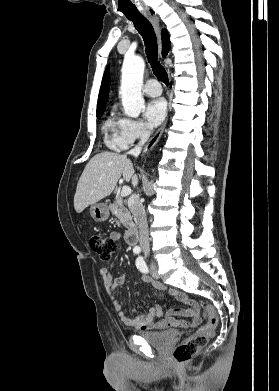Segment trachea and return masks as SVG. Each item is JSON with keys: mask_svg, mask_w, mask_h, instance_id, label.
I'll use <instances>...</instances> for the list:
<instances>
[{"mask_svg": "<svg viewBox=\"0 0 279 391\" xmlns=\"http://www.w3.org/2000/svg\"><path fill=\"white\" fill-rule=\"evenodd\" d=\"M134 24V27L142 36L145 44V51L148 58V62L150 63L153 73L155 76L165 83L169 84L168 74L165 68L161 65L158 60V44L157 37L154 32V28L152 24L146 18H129Z\"/></svg>", "mask_w": 279, "mask_h": 391, "instance_id": "trachea-1", "label": "trachea"}]
</instances>
